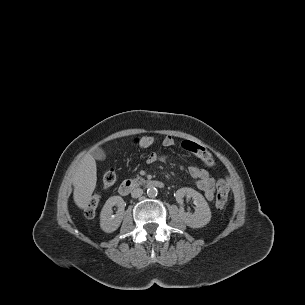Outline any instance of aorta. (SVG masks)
Here are the masks:
<instances>
[{
  "mask_svg": "<svg viewBox=\"0 0 305 305\" xmlns=\"http://www.w3.org/2000/svg\"><path fill=\"white\" fill-rule=\"evenodd\" d=\"M157 194H158L157 188H155L154 186L148 187V189H147L148 197L154 198L157 196Z\"/></svg>",
  "mask_w": 305,
  "mask_h": 305,
  "instance_id": "aorta-1",
  "label": "aorta"
}]
</instances>
